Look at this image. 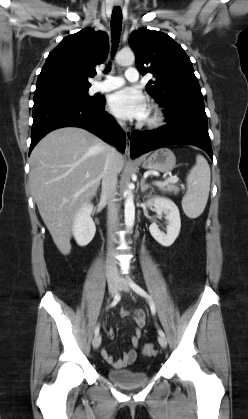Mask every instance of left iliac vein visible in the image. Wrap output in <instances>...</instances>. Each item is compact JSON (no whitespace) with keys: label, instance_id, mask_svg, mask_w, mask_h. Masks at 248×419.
<instances>
[{"label":"left iliac vein","instance_id":"4c4485c4","mask_svg":"<svg viewBox=\"0 0 248 419\" xmlns=\"http://www.w3.org/2000/svg\"><path fill=\"white\" fill-rule=\"evenodd\" d=\"M119 288L121 290L125 291V292H129L130 291V287H129L128 282L125 279H123V278H120L119 279ZM158 342H159L160 346L163 347V348H165L167 346V339H166L165 336H161L160 335L158 337Z\"/></svg>","mask_w":248,"mask_h":419}]
</instances>
